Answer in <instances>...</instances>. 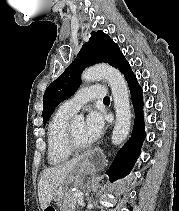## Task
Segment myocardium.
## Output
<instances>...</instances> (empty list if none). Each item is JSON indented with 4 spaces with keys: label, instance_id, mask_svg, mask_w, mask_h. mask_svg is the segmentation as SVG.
<instances>
[{
    "label": "myocardium",
    "instance_id": "obj_1",
    "mask_svg": "<svg viewBox=\"0 0 179 211\" xmlns=\"http://www.w3.org/2000/svg\"><path fill=\"white\" fill-rule=\"evenodd\" d=\"M66 145L72 153H80L90 149V144H81L74 135L72 122H69L66 129Z\"/></svg>",
    "mask_w": 179,
    "mask_h": 211
}]
</instances>
